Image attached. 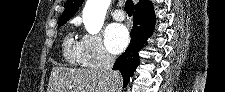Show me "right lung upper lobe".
<instances>
[{
  "instance_id": "obj_1",
  "label": "right lung upper lobe",
  "mask_w": 225,
  "mask_h": 92,
  "mask_svg": "<svg viewBox=\"0 0 225 92\" xmlns=\"http://www.w3.org/2000/svg\"><path fill=\"white\" fill-rule=\"evenodd\" d=\"M83 0H69L64 12L59 21L69 20L82 5ZM135 12L141 14H148L153 12L152 2L149 0H140L138 4L135 6Z\"/></svg>"
}]
</instances>
